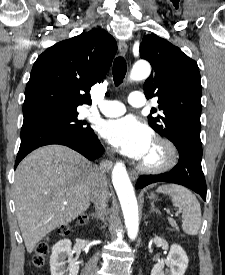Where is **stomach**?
<instances>
[{
    "label": "stomach",
    "instance_id": "obj_1",
    "mask_svg": "<svg viewBox=\"0 0 225 275\" xmlns=\"http://www.w3.org/2000/svg\"><path fill=\"white\" fill-rule=\"evenodd\" d=\"M151 197L153 198V197H154V195L152 194V195H151Z\"/></svg>",
    "mask_w": 225,
    "mask_h": 275
}]
</instances>
